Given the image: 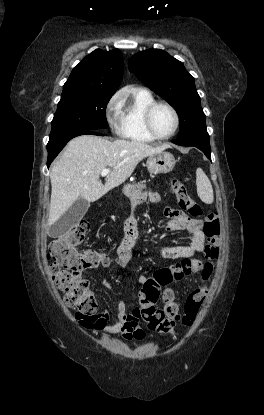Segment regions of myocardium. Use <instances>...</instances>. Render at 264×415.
<instances>
[{
    "label": "myocardium",
    "instance_id": "myocardium-1",
    "mask_svg": "<svg viewBox=\"0 0 264 415\" xmlns=\"http://www.w3.org/2000/svg\"><path fill=\"white\" fill-rule=\"evenodd\" d=\"M159 106H165L167 107L173 114L174 116V120H175V124H174V128L173 130L164 136L158 135L156 133V131L153 128V124H152V116L153 113L155 111V109ZM143 123H144V127L146 132L155 140H167L170 139L171 137H173L176 132L178 131L179 125H180V117L179 114L177 112V110L168 102L165 101H155L153 103H151L145 110L143 113Z\"/></svg>",
    "mask_w": 264,
    "mask_h": 415
}]
</instances>
